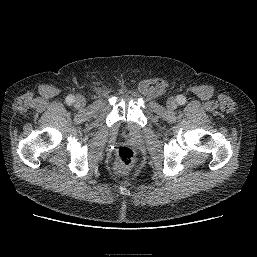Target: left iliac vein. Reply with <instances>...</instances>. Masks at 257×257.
<instances>
[{
    "instance_id": "4c4485c4",
    "label": "left iliac vein",
    "mask_w": 257,
    "mask_h": 257,
    "mask_svg": "<svg viewBox=\"0 0 257 257\" xmlns=\"http://www.w3.org/2000/svg\"><path fill=\"white\" fill-rule=\"evenodd\" d=\"M166 105L169 110H174L178 106V103L175 98L171 97L167 100Z\"/></svg>"
}]
</instances>
